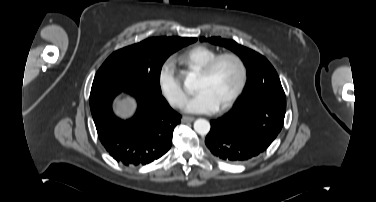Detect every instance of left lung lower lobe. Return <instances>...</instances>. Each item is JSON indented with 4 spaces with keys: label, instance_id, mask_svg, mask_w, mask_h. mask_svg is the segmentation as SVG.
Listing matches in <instances>:
<instances>
[{
    "label": "left lung lower lobe",
    "instance_id": "0a47b994",
    "mask_svg": "<svg viewBox=\"0 0 376 202\" xmlns=\"http://www.w3.org/2000/svg\"><path fill=\"white\" fill-rule=\"evenodd\" d=\"M286 108L266 101L236 108L212 120L205 144L227 162H242L264 152L282 129Z\"/></svg>",
    "mask_w": 376,
    "mask_h": 202
}]
</instances>
